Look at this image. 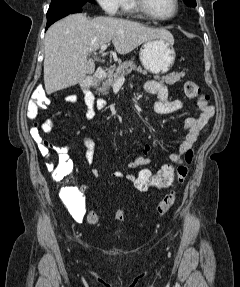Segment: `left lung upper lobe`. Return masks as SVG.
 Returning <instances> with one entry per match:
<instances>
[{
	"label": "left lung upper lobe",
	"mask_w": 240,
	"mask_h": 287,
	"mask_svg": "<svg viewBox=\"0 0 240 287\" xmlns=\"http://www.w3.org/2000/svg\"><path fill=\"white\" fill-rule=\"evenodd\" d=\"M187 6H196V0H183Z\"/></svg>",
	"instance_id": "1"
}]
</instances>
